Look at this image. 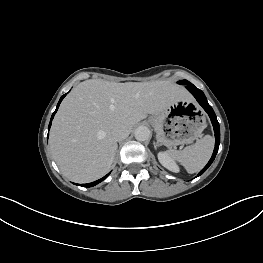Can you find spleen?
Returning a JSON list of instances; mask_svg holds the SVG:
<instances>
[{
	"mask_svg": "<svg viewBox=\"0 0 263 263\" xmlns=\"http://www.w3.org/2000/svg\"><path fill=\"white\" fill-rule=\"evenodd\" d=\"M214 148V139L206 135L195 144L181 151L170 150L169 154L183 165L190 174L200 171L209 161Z\"/></svg>",
	"mask_w": 263,
	"mask_h": 263,
	"instance_id": "3e777b00",
	"label": "spleen"
}]
</instances>
